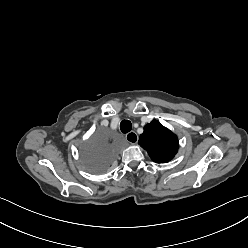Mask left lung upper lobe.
I'll list each match as a JSON object with an SVG mask.
<instances>
[{
	"instance_id": "5c2ea615",
	"label": "left lung upper lobe",
	"mask_w": 248,
	"mask_h": 248,
	"mask_svg": "<svg viewBox=\"0 0 248 248\" xmlns=\"http://www.w3.org/2000/svg\"><path fill=\"white\" fill-rule=\"evenodd\" d=\"M139 145L148 152L154 162L166 163L177 153L178 139L169 129L153 120L144 127Z\"/></svg>"
}]
</instances>
